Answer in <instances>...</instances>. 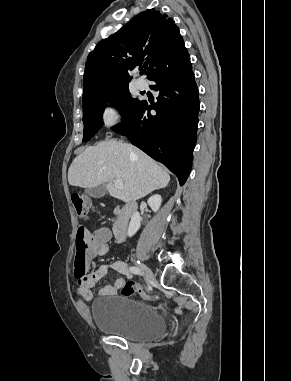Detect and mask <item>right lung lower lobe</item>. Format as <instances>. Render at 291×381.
<instances>
[{
  "instance_id": "obj_1",
  "label": "right lung lower lobe",
  "mask_w": 291,
  "mask_h": 381,
  "mask_svg": "<svg viewBox=\"0 0 291 381\" xmlns=\"http://www.w3.org/2000/svg\"><path fill=\"white\" fill-rule=\"evenodd\" d=\"M149 80L159 93L153 106L142 101L132 115L114 127L149 156L173 172L180 185L187 180L196 144L199 96L186 48ZM154 109L156 114L150 111Z\"/></svg>"
}]
</instances>
